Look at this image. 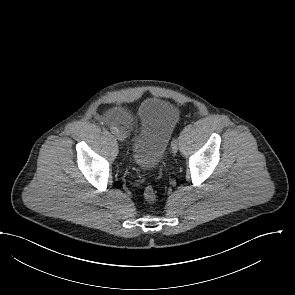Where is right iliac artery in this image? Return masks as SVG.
Here are the masks:
<instances>
[{"label": "right iliac artery", "instance_id": "obj_1", "mask_svg": "<svg viewBox=\"0 0 295 295\" xmlns=\"http://www.w3.org/2000/svg\"><path fill=\"white\" fill-rule=\"evenodd\" d=\"M110 130H111V132L113 134H115L116 132H118V129L116 127H111Z\"/></svg>", "mask_w": 295, "mask_h": 295}]
</instances>
